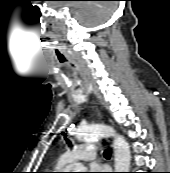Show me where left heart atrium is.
Returning <instances> with one entry per match:
<instances>
[{
	"label": "left heart atrium",
	"mask_w": 170,
	"mask_h": 173,
	"mask_svg": "<svg viewBox=\"0 0 170 173\" xmlns=\"http://www.w3.org/2000/svg\"><path fill=\"white\" fill-rule=\"evenodd\" d=\"M89 170L91 173H104L105 167L98 165V164H92L89 167Z\"/></svg>",
	"instance_id": "left-heart-atrium-1"
}]
</instances>
